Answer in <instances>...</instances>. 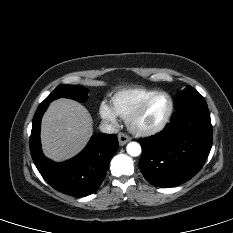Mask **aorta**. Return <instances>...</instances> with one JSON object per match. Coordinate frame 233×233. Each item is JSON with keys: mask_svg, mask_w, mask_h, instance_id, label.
<instances>
[{"mask_svg": "<svg viewBox=\"0 0 233 233\" xmlns=\"http://www.w3.org/2000/svg\"><path fill=\"white\" fill-rule=\"evenodd\" d=\"M126 150H127V153L133 157L139 156L141 154V151H142L140 144L137 142L128 143Z\"/></svg>", "mask_w": 233, "mask_h": 233, "instance_id": "1", "label": "aorta"}]
</instances>
